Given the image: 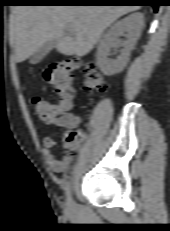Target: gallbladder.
Instances as JSON below:
<instances>
[{
	"label": "gallbladder",
	"instance_id": "1",
	"mask_svg": "<svg viewBox=\"0 0 170 231\" xmlns=\"http://www.w3.org/2000/svg\"><path fill=\"white\" fill-rule=\"evenodd\" d=\"M56 42L50 40L45 42L30 59L31 64H38L54 47Z\"/></svg>",
	"mask_w": 170,
	"mask_h": 231
}]
</instances>
